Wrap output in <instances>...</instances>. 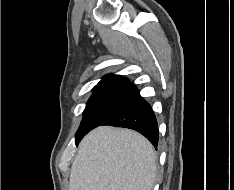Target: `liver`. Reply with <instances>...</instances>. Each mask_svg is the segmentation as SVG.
I'll use <instances>...</instances> for the list:
<instances>
[{"label":"liver","mask_w":234,"mask_h":190,"mask_svg":"<svg viewBox=\"0 0 234 190\" xmlns=\"http://www.w3.org/2000/svg\"><path fill=\"white\" fill-rule=\"evenodd\" d=\"M155 177L156 155L145 137L102 126L81 141L69 190H152Z\"/></svg>","instance_id":"1"}]
</instances>
